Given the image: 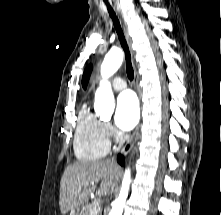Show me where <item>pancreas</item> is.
Masks as SVG:
<instances>
[{
  "label": "pancreas",
  "mask_w": 221,
  "mask_h": 215,
  "mask_svg": "<svg viewBox=\"0 0 221 215\" xmlns=\"http://www.w3.org/2000/svg\"><path fill=\"white\" fill-rule=\"evenodd\" d=\"M81 215H98L97 207L94 204L85 206Z\"/></svg>",
  "instance_id": "pancreas-1"
}]
</instances>
